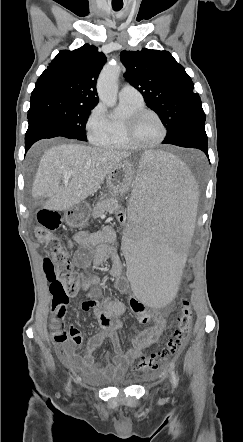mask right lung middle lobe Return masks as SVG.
Wrapping results in <instances>:
<instances>
[{
	"instance_id": "dd1d6c3e",
	"label": "right lung middle lobe",
	"mask_w": 243,
	"mask_h": 442,
	"mask_svg": "<svg viewBox=\"0 0 243 442\" xmlns=\"http://www.w3.org/2000/svg\"><path fill=\"white\" fill-rule=\"evenodd\" d=\"M28 122L44 121L68 132L71 139L87 141L85 125L94 106L59 95L31 97Z\"/></svg>"
}]
</instances>
